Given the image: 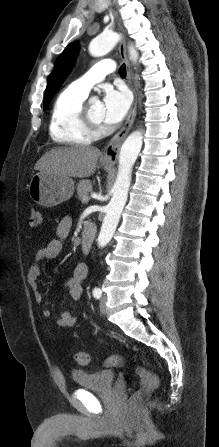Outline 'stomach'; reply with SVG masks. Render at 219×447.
I'll list each match as a JSON object with an SVG mask.
<instances>
[{
    "label": "stomach",
    "instance_id": "obj_1",
    "mask_svg": "<svg viewBox=\"0 0 219 447\" xmlns=\"http://www.w3.org/2000/svg\"><path fill=\"white\" fill-rule=\"evenodd\" d=\"M106 170L112 164L102 161ZM74 181L68 176H62L50 171H40L34 174L29 183L31 199L44 207H54L70 199L74 193Z\"/></svg>",
    "mask_w": 219,
    "mask_h": 447
}]
</instances>
